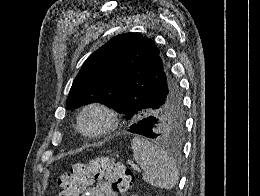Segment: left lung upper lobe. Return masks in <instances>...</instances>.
<instances>
[{
  "mask_svg": "<svg viewBox=\"0 0 260 196\" xmlns=\"http://www.w3.org/2000/svg\"><path fill=\"white\" fill-rule=\"evenodd\" d=\"M100 102L136 123L155 121V138L180 147L185 113L178 83L164 52L136 33L110 39L83 64L66 100V109Z\"/></svg>",
  "mask_w": 260,
  "mask_h": 196,
  "instance_id": "1",
  "label": "left lung upper lobe"
}]
</instances>
